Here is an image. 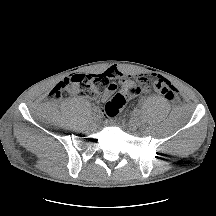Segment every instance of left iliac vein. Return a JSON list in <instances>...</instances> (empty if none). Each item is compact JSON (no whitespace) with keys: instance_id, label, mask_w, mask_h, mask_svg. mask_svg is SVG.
<instances>
[{"instance_id":"obj_1","label":"left iliac vein","mask_w":216,"mask_h":216,"mask_svg":"<svg viewBox=\"0 0 216 216\" xmlns=\"http://www.w3.org/2000/svg\"><path fill=\"white\" fill-rule=\"evenodd\" d=\"M136 116V115H135ZM132 117L131 119H130V121H129V128H130V130H132V131H135V130H137L140 126H141V122H140V120H139V118H137V117Z\"/></svg>"}]
</instances>
